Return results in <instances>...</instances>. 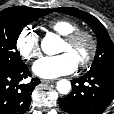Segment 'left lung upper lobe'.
I'll use <instances>...</instances> for the list:
<instances>
[{
	"label": "left lung upper lobe",
	"mask_w": 114,
	"mask_h": 114,
	"mask_svg": "<svg viewBox=\"0 0 114 114\" xmlns=\"http://www.w3.org/2000/svg\"><path fill=\"white\" fill-rule=\"evenodd\" d=\"M55 11L83 19L96 33L97 51L89 71L114 69V45L106 28L97 18L76 8H56Z\"/></svg>",
	"instance_id": "obj_1"
}]
</instances>
